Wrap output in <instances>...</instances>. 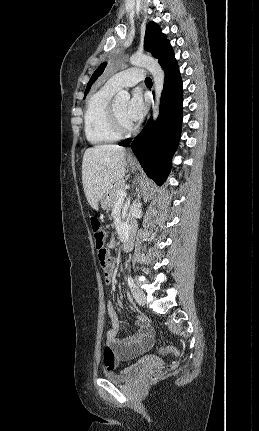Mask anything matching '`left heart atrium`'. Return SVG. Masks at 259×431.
<instances>
[{"label":"left heart atrium","mask_w":259,"mask_h":431,"mask_svg":"<svg viewBox=\"0 0 259 431\" xmlns=\"http://www.w3.org/2000/svg\"><path fill=\"white\" fill-rule=\"evenodd\" d=\"M147 105L140 91H133L125 109L127 120L133 124L143 119L146 114Z\"/></svg>","instance_id":"1"}]
</instances>
